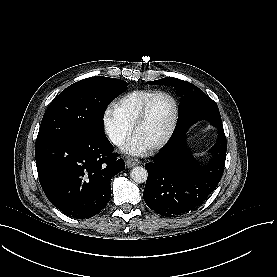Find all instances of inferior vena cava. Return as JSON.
<instances>
[{
	"instance_id": "inferior-vena-cava-1",
	"label": "inferior vena cava",
	"mask_w": 277,
	"mask_h": 277,
	"mask_svg": "<svg viewBox=\"0 0 277 277\" xmlns=\"http://www.w3.org/2000/svg\"><path fill=\"white\" fill-rule=\"evenodd\" d=\"M109 138L115 145H120L123 142V137L119 133L112 132L109 134Z\"/></svg>"
}]
</instances>
